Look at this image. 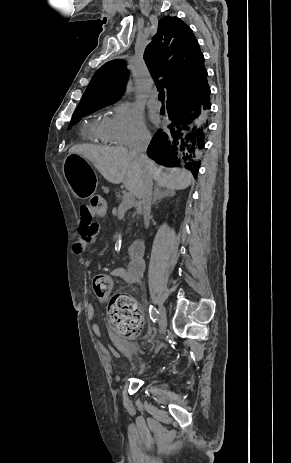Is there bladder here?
<instances>
[{
	"label": "bladder",
	"mask_w": 291,
	"mask_h": 463,
	"mask_svg": "<svg viewBox=\"0 0 291 463\" xmlns=\"http://www.w3.org/2000/svg\"><path fill=\"white\" fill-rule=\"evenodd\" d=\"M116 341V347L122 357L132 359L136 355V346L131 339H116Z\"/></svg>",
	"instance_id": "obj_1"
}]
</instances>
